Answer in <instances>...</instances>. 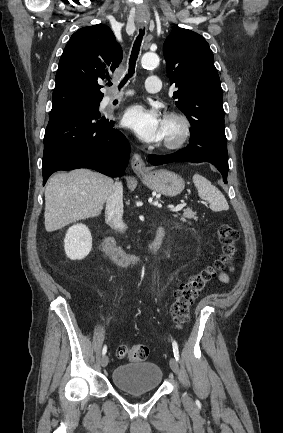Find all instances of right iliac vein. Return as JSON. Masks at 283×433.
<instances>
[{"mask_svg": "<svg viewBox=\"0 0 283 433\" xmlns=\"http://www.w3.org/2000/svg\"><path fill=\"white\" fill-rule=\"evenodd\" d=\"M101 365L102 367H106L108 365V357L106 355L101 358Z\"/></svg>", "mask_w": 283, "mask_h": 433, "instance_id": "right-iliac-vein-1", "label": "right iliac vein"}]
</instances>
